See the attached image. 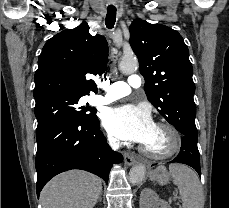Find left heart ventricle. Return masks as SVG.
<instances>
[{"instance_id": "1", "label": "left heart ventricle", "mask_w": 229, "mask_h": 208, "mask_svg": "<svg viewBox=\"0 0 229 208\" xmlns=\"http://www.w3.org/2000/svg\"><path fill=\"white\" fill-rule=\"evenodd\" d=\"M165 128L154 127L149 138L143 143V145L150 151L158 154L166 153L172 150L174 147L167 146V136L165 135Z\"/></svg>"}]
</instances>
